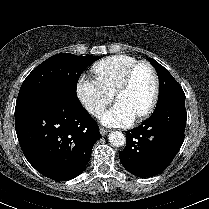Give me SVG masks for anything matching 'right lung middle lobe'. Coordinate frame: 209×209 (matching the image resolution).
Wrapping results in <instances>:
<instances>
[{
    "label": "right lung middle lobe",
    "instance_id": "1",
    "mask_svg": "<svg viewBox=\"0 0 209 209\" xmlns=\"http://www.w3.org/2000/svg\"><path fill=\"white\" fill-rule=\"evenodd\" d=\"M97 59L98 56H76L69 53L51 56L26 77L20 88L16 105L32 95L51 88L77 96L76 87L80 75Z\"/></svg>",
    "mask_w": 209,
    "mask_h": 209
}]
</instances>
